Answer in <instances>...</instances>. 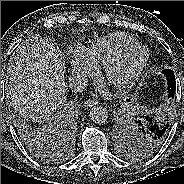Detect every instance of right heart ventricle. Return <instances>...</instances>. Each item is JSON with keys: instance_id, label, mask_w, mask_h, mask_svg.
<instances>
[{"instance_id": "right-heart-ventricle-1", "label": "right heart ventricle", "mask_w": 184, "mask_h": 184, "mask_svg": "<svg viewBox=\"0 0 184 184\" xmlns=\"http://www.w3.org/2000/svg\"><path fill=\"white\" fill-rule=\"evenodd\" d=\"M137 43L133 38L123 33H113L100 38L86 51L94 64H105L125 47Z\"/></svg>"}]
</instances>
